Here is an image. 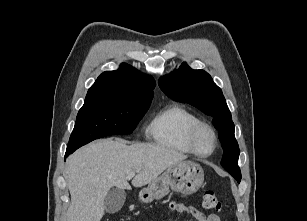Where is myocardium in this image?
<instances>
[{"mask_svg":"<svg viewBox=\"0 0 307 221\" xmlns=\"http://www.w3.org/2000/svg\"><path fill=\"white\" fill-rule=\"evenodd\" d=\"M201 131H207L211 135L213 140L212 149L207 153L201 152L197 146V137ZM186 143L192 153L199 157L205 158L211 156L215 152L218 144V138L214 128L210 124L203 121H198L197 123L193 124L188 130L186 135Z\"/></svg>","mask_w":307,"mask_h":221,"instance_id":"f54148a6","label":"myocardium"}]
</instances>
